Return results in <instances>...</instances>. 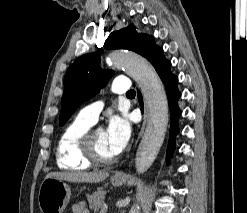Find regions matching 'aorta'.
<instances>
[{
	"instance_id": "obj_1",
	"label": "aorta",
	"mask_w": 247,
	"mask_h": 213,
	"mask_svg": "<svg viewBox=\"0 0 247 213\" xmlns=\"http://www.w3.org/2000/svg\"><path fill=\"white\" fill-rule=\"evenodd\" d=\"M107 62L124 68L140 87L147 106V126L138 146L135 167L137 172H146L154 162L165 138L168 125V102L164 86L153 66L143 57L130 51H114ZM129 213H140L138 206Z\"/></svg>"
}]
</instances>
